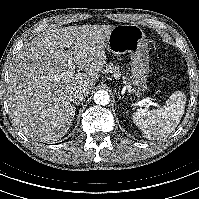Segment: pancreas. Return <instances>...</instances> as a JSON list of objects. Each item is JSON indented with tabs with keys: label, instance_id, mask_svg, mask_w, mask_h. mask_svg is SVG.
<instances>
[{
	"label": "pancreas",
	"instance_id": "cf45deb5",
	"mask_svg": "<svg viewBox=\"0 0 199 199\" xmlns=\"http://www.w3.org/2000/svg\"><path fill=\"white\" fill-rule=\"evenodd\" d=\"M117 69H118V67L114 66L113 64L107 65V70H109V71L116 72ZM128 91L136 92V90L134 88H131L130 86H128Z\"/></svg>",
	"mask_w": 199,
	"mask_h": 199
}]
</instances>
